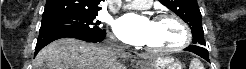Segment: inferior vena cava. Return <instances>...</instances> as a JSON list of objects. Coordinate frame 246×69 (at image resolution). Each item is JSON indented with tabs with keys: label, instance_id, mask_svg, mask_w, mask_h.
Segmentation results:
<instances>
[{
	"label": "inferior vena cava",
	"instance_id": "1",
	"mask_svg": "<svg viewBox=\"0 0 246 69\" xmlns=\"http://www.w3.org/2000/svg\"><path fill=\"white\" fill-rule=\"evenodd\" d=\"M107 47L111 48L114 51H122V47L117 44L112 43V41H108Z\"/></svg>",
	"mask_w": 246,
	"mask_h": 69
}]
</instances>
